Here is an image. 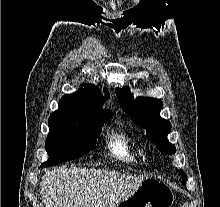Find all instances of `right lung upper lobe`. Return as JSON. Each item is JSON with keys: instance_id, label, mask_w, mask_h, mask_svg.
Listing matches in <instances>:
<instances>
[{"instance_id": "cb5924a9", "label": "right lung upper lobe", "mask_w": 220, "mask_h": 207, "mask_svg": "<svg viewBox=\"0 0 220 207\" xmlns=\"http://www.w3.org/2000/svg\"><path fill=\"white\" fill-rule=\"evenodd\" d=\"M84 88H80L77 92L70 95H64L60 101L69 102L77 106V108L90 115L97 117L100 120L108 121L112 117V113L108 109H102L101 106L105 101L98 87L92 84H84ZM106 97H109V92L104 88Z\"/></svg>"}]
</instances>
